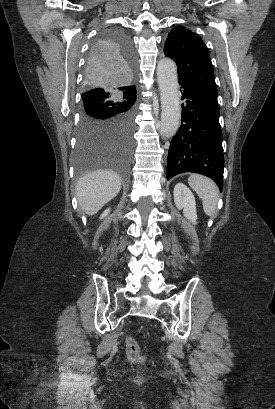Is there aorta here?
Masks as SVG:
<instances>
[{
  "instance_id": "aorta-1",
  "label": "aorta",
  "mask_w": 275,
  "mask_h": 409,
  "mask_svg": "<svg viewBox=\"0 0 275 409\" xmlns=\"http://www.w3.org/2000/svg\"><path fill=\"white\" fill-rule=\"evenodd\" d=\"M157 80L161 100L160 134L164 138H171L177 132L181 120L177 66L172 58L159 60Z\"/></svg>"
}]
</instances>
